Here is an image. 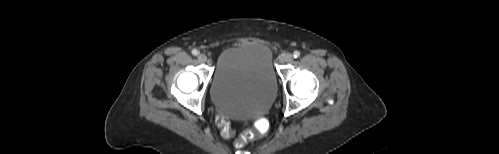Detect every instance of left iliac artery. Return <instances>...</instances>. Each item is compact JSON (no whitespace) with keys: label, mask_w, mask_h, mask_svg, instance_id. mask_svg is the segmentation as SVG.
Wrapping results in <instances>:
<instances>
[{"label":"left iliac artery","mask_w":499,"mask_h":154,"mask_svg":"<svg viewBox=\"0 0 499 154\" xmlns=\"http://www.w3.org/2000/svg\"><path fill=\"white\" fill-rule=\"evenodd\" d=\"M293 56H294V58H298L300 56V52L299 51H294L293 52Z\"/></svg>","instance_id":"44dca946"}]
</instances>
